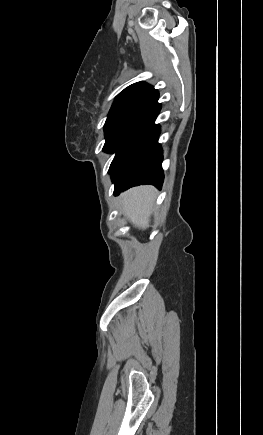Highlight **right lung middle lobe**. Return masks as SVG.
<instances>
[{
    "instance_id": "right-lung-middle-lobe-1",
    "label": "right lung middle lobe",
    "mask_w": 263,
    "mask_h": 435,
    "mask_svg": "<svg viewBox=\"0 0 263 435\" xmlns=\"http://www.w3.org/2000/svg\"><path fill=\"white\" fill-rule=\"evenodd\" d=\"M144 107L142 105L112 106L104 125L106 142L103 150L105 152H118L131 124Z\"/></svg>"
}]
</instances>
